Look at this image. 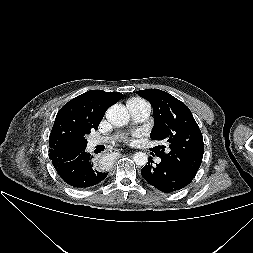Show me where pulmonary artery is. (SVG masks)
<instances>
[{"label": "pulmonary artery", "mask_w": 253, "mask_h": 253, "mask_svg": "<svg viewBox=\"0 0 253 253\" xmlns=\"http://www.w3.org/2000/svg\"><path fill=\"white\" fill-rule=\"evenodd\" d=\"M127 108L132 116V118L137 122L145 121L151 112V106L147 102H127ZM105 139L100 138H94L91 139L88 143V147L90 149H93L98 144L104 142ZM158 162H160V159H157Z\"/></svg>", "instance_id": "1"}]
</instances>
